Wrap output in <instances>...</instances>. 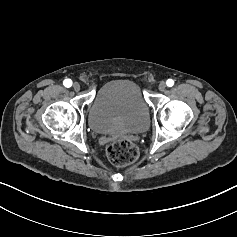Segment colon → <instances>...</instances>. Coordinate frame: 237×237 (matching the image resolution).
Instances as JSON below:
<instances>
[{
    "label": "colon",
    "mask_w": 237,
    "mask_h": 237,
    "mask_svg": "<svg viewBox=\"0 0 237 237\" xmlns=\"http://www.w3.org/2000/svg\"><path fill=\"white\" fill-rule=\"evenodd\" d=\"M106 154L110 161L118 166L135 163L139 157L137 146L129 139H121L106 146Z\"/></svg>",
    "instance_id": "colon-1"
}]
</instances>
